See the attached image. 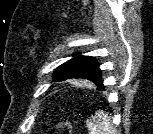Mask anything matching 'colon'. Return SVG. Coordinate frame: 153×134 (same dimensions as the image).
Listing matches in <instances>:
<instances>
[{
	"instance_id": "1",
	"label": "colon",
	"mask_w": 153,
	"mask_h": 134,
	"mask_svg": "<svg viewBox=\"0 0 153 134\" xmlns=\"http://www.w3.org/2000/svg\"><path fill=\"white\" fill-rule=\"evenodd\" d=\"M51 134H71V126L67 122H61L51 129Z\"/></svg>"
}]
</instances>
